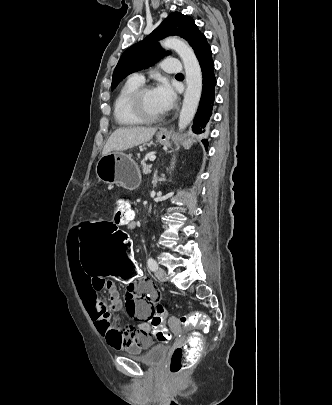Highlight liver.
I'll return each mask as SVG.
<instances>
[{"instance_id":"liver-1","label":"liver","mask_w":332,"mask_h":405,"mask_svg":"<svg viewBox=\"0 0 332 405\" xmlns=\"http://www.w3.org/2000/svg\"><path fill=\"white\" fill-rule=\"evenodd\" d=\"M157 128L153 127H122L116 129L104 145L102 155L112 151H122L144 144L152 139Z\"/></svg>"}]
</instances>
